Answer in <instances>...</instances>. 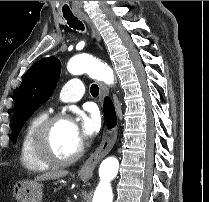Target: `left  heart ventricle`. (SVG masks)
<instances>
[{"label": "left heart ventricle", "instance_id": "obj_1", "mask_svg": "<svg viewBox=\"0 0 209 202\" xmlns=\"http://www.w3.org/2000/svg\"><path fill=\"white\" fill-rule=\"evenodd\" d=\"M71 121H64L55 126L49 136V148L59 158L73 155L80 147Z\"/></svg>", "mask_w": 209, "mask_h": 202}]
</instances>
